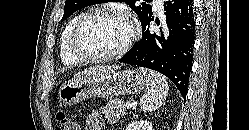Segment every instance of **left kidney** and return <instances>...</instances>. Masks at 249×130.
Masks as SVG:
<instances>
[{"mask_svg": "<svg viewBox=\"0 0 249 130\" xmlns=\"http://www.w3.org/2000/svg\"><path fill=\"white\" fill-rule=\"evenodd\" d=\"M126 130H152V124L147 120H134L128 124Z\"/></svg>", "mask_w": 249, "mask_h": 130, "instance_id": "obj_1", "label": "left kidney"}]
</instances>
